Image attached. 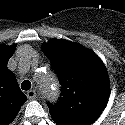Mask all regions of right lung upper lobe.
Returning a JSON list of instances; mask_svg holds the SVG:
<instances>
[{"mask_svg":"<svg viewBox=\"0 0 125 125\" xmlns=\"http://www.w3.org/2000/svg\"><path fill=\"white\" fill-rule=\"evenodd\" d=\"M15 48V45H0V125H9L27 101V97L17 84L15 75L7 68Z\"/></svg>","mask_w":125,"mask_h":125,"instance_id":"right-lung-upper-lobe-1","label":"right lung upper lobe"}]
</instances>
